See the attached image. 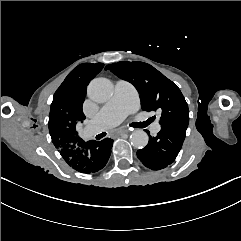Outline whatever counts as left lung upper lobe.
<instances>
[{
    "label": "left lung upper lobe",
    "instance_id": "obj_1",
    "mask_svg": "<svg viewBox=\"0 0 241 241\" xmlns=\"http://www.w3.org/2000/svg\"><path fill=\"white\" fill-rule=\"evenodd\" d=\"M107 69L135 86L143 110L161 111V125L189 123L188 105L180 89L153 66L138 61H122L107 65Z\"/></svg>",
    "mask_w": 241,
    "mask_h": 241
}]
</instances>
